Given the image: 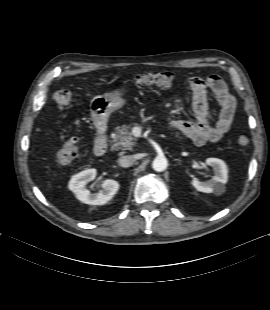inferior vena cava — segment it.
<instances>
[{
	"label": "inferior vena cava",
	"mask_w": 270,
	"mask_h": 310,
	"mask_svg": "<svg viewBox=\"0 0 270 310\" xmlns=\"http://www.w3.org/2000/svg\"><path fill=\"white\" fill-rule=\"evenodd\" d=\"M135 158L133 155L122 156L118 159V163L121 167L127 168L133 165Z\"/></svg>",
	"instance_id": "inferior-vena-cava-1"
}]
</instances>
